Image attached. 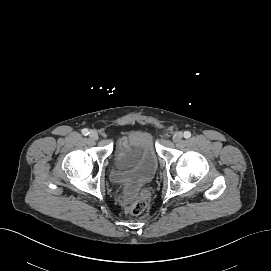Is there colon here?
I'll use <instances>...</instances> for the list:
<instances>
[{
	"instance_id": "5ec220e1",
	"label": "colon",
	"mask_w": 271,
	"mask_h": 271,
	"mask_svg": "<svg viewBox=\"0 0 271 271\" xmlns=\"http://www.w3.org/2000/svg\"><path fill=\"white\" fill-rule=\"evenodd\" d=\"M147 208V202L144 199L137 200L126 208V213L131 216L142 214Z\"/></svg>"
}]
</instances>
